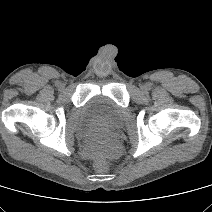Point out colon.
I'll return each instance as SVG.
<instances>
[{"instance_id":"obj_1","label":"colon","mask_w":212,"mask_h":212,"mask_svg":"<svg viewBox=\"0 0 212 212\" xmlns=\"http://www.w3.org/2000/svg\"><path fill=\"white\" fill-rule=\"evenodd\" d=\"M101 152H102V150H101L100 147H97V148L95 149V153H96L97 155H100Z\"/></svg>"}]
</instances>
